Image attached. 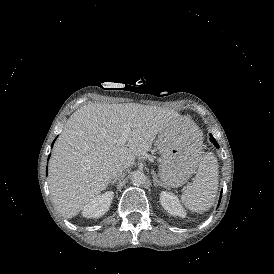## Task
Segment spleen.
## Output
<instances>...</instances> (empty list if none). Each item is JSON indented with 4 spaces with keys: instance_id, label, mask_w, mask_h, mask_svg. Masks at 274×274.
I'll list each match as a JSON object with an SVG mask.
<instances>
[{
    "instance_id": "spleen-1",
    "label": "spleen",
    "mask_w": 274,
    "mask_h": 274,
    "mask_svg": "<svg viewBox=\"0 0 274 274\" xmlns=\"http://www.w3.org/2000/svg\"><path fill=\"white\" fill-rule=\"evenodd\" d=\"M200 133V131H199ZM201 140V133L199 134ZM199 145V149H200ZM194 155L198 167L193 183L182 193V203L191 211L202 212L211 208L218 192V162L212 153L201 156V150Z\"/></svg>"
}]
</instances>
